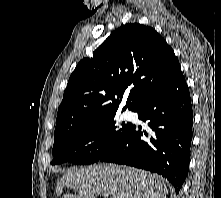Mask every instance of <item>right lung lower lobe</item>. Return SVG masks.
Returning <instances> with one entry per match:
<instances>
[{
    "label": "right lung lower lobe",
    "instance_id": "right-lung-lower-lobe-1",
    "mask_svg": "<svg viewBox=\"0 0 221 198\" xmlns=\"http://www.w3.org/2000/svg\"><path fill=\"white\" fill-rule=\"evenodd\" d=\"M148 128L132 125L123 140L98 161L156 172L179 192L190 160L193 114L182 73L149 96L135 111ZM144 135L146 138L141 139Z\"/></svg>",
    "mask_w": 221,
    "mask_h": 198
}]
</instances>
